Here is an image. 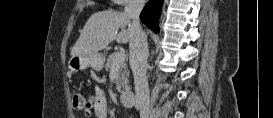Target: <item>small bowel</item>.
Masks as SVG:
<instances>
[{"label": "small bowel", "mask_w": 273, "mask_h": 118, "mask_svg": "<svg viewBox=\"0 0 273 118\" xmlns=\"http://www.w3.org/2000/svg\"><path fill=\"white\" fill-rule=\"evenodd\" d=\"M107 96L100 88H96L94 95L88 103V109L85 113L87 117L92 114L95 118H107Z\"/></svg>", "instance_id": "1"}]
</instances>
